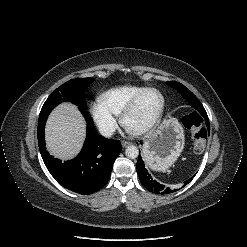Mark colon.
Masks as SVG:
<instances>
[{
  "label": "colon",
  "mask_w": 247,
  "mask_h": 247,
  "mask_svg": "<svg viewBox=\"0 0 247 247\" xmlns=\"http://www.w3.org/2000/svg\"><path fill=\"white\" fill-rule=\"evenodd\" d=\"M184 126L190 130L195 152L201 153L206 146V131L202 127V118L196 112H191L183 117Z\"/></svg>",
  "instance_id": "5ec220e1"
}]
</instances>
